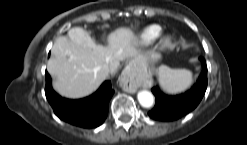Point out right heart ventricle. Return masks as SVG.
I'll use <instances>...</instances> for the list:
<instances>
[{
    "label": "right heart ventricle",
    "instance_id": "right-heart-ventricle-1",
    "mask_svg": "<svg viewBox=\"0 0 247 145\" xmlns=\"http://www.w3.org/2000/svg\"><path fill=\"white\" fill-rule=\"evenodd\" d=\"M162 28L159 25L152 24L143 28L136 37L140 45H149L153 43L161 34Z\"/></svg>",
    "mask_w": 247,
    "mask_h": 145
}]
</instances>
